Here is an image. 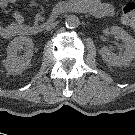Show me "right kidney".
Masks as SVG:
<instances>
[{
	"label": "right kidney",
	"instance_id": "right-kidney-1",
	"mask_svg": "<svg viewBox=\"0 0 135 135\" xmlns=\"http://www.w3.org/2000/svg\"><path fill=\"white\" fill-rule=\"evenodd\" d=\"M33 41L30 37L19 36L14 38L7 47V58L4 66L11 75L21 74L23 70L30 67L33 55ZM24 50L22 56H18V51Z\"/></svg>",
	"mask_w": 135,
	"mask_h": 135
}]
</instances>
